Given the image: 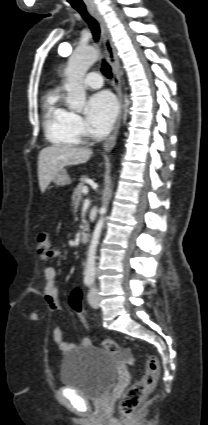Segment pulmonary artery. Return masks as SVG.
I'll return each mask as SVG.
<instances>
[{
	"label": "pulmonary artery",
	"mask_w": 208,
	"mask_h": 425,
	"mask_svg": "<svg viewBox=\"0 0 208 425\" xmlns=\"http://www.w3.org/2000/svg\"><path fill=\"white\" fill-rule=\"evenodd\" d=\"M84 85L87 88L98 89L103 85L102 76L97 72H91L85 77Z\"/></svg>",
	"instance_id": "e3ab8cb5"
}]
</instances>
